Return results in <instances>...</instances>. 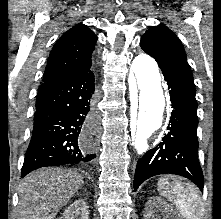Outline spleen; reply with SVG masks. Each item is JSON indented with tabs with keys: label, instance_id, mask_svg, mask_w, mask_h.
I'll return each mask as SVG.
<instances>
[{
	"label": "spleen",
	"instance_id": "obj_1",
	"mask_svg": "<svg viewBox=\"0 0 221 219\" xmlns=\"http://www.w3.org/2000/svg\"><path fill=\"white\" fill-rule=\"evenodd\" d=\"M158 191L176 205L185 219H202L204 216L202 200L189 182L175 176H167L159 180Z\"/></svg>",
	"mask_w": 221,
	"mask_h": 219
}]
</instances>
